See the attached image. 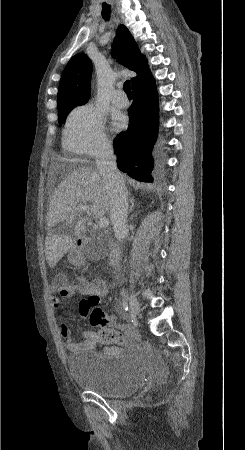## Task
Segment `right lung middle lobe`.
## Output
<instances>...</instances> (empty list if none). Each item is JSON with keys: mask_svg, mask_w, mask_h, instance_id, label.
Wrapping results in <instances>:
<instances>
[{"mask_svg": "<svg viewBox=\"0 0 245 450\" xmlns=\"http://www.w3.org/2000/svg\"><path fill=\"white\" fill-rule=\"evenodd\" d=\"M78 105L83 104H77V103H66L63 105L58 106V116H59V122L63 123L65 120L66 115L75 107Z\"/></svg>", "mask_w": 245, "mask_h": 450, "instance_id": "right-lung-middle-lobe-1", "label": "right lung middle lobe"}]
</instances>
